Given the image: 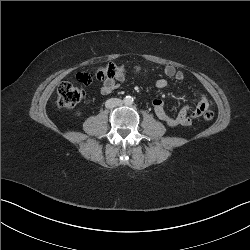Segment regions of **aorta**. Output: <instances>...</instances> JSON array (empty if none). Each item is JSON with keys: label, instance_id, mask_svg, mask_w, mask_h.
I'll list each match as a JSON object with an SVG mask.
<instances>
[{"label": "aorta", "instance_id": "aorta-1", "mask_svg": "<svg viewBox=\"0 0 250 250\" xmlns=\"http://www.w3.org/2000/svg\"><path fill=\"white\" fill-rule=\"evenodd\" d=\"M124 104L129 106L133 104V97L131 96H126L123 100Z\"/></svg>", "mask_w": 250, "mask_h": 250}]
</instances>
